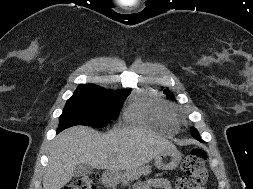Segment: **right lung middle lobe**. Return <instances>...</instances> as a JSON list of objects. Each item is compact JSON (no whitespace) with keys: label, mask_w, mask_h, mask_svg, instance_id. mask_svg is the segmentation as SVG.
<instances>
[{"label":"right lung middle lobe","mask_w":253,"mask_h":189,"mask_svg":"<svg viewBox=\"0 0 253 189\" xmlns=\"http://www.w3.org/2000/svg\"><path fill=\"white\" fill-rule=\"evenodd\" d=\"M130 92L131 90L74 92L59 117L57 132L73 125L96 128L107 126L110 120L118 117L123 101Z\"/></svg>","instance_id":"1"}]
</instances>
